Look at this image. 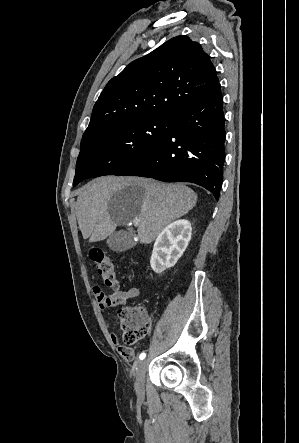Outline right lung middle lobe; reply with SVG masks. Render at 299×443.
Returning a JSON list of instances; mask_svg holds the SVG:
<instances>
[{"label": "right lung middle lobe", "mask_w": 299, "mask_h": 443, "mask_svg": "<svg viewBox=\"0 0 299 443\" xmlns=\"http://www.w3.org/2000/svg\"><path fill=\"white\" fill-rule=\"evenodd\" d=\"M168 116L134 119L93 133L81 141L73 185L114 175L148 154L170 133Z\"/></svg>", "instance_id": "dd1d6c3e"}]
</instances>
